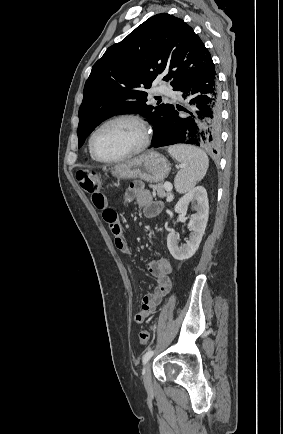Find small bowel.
Masks as SVG:
<instances>
[{
  "label": "small bowel",
  "mask_w": 283,
  "mask_h": 434,
  "mask_svg": "<svg viewBox=\"0 0 283 434\" xmlns=\"http://www.w3.org/2000/svg\"><path fill=\"white\" fill-rule=\"evenodd\" d=\"M123 200L125 202L135 201L147 218L156 217L163 209L162 203L153 200L150 191L144 187L142 182L138 181L131 183L125 189ZM92 202L97 209L102 211L103 219L110 227L116 247L124 254L132 255L119 217L116 211L108 206L107 197L97 191L92 194ZM147 267L154 277L155 283L150 287L149 293L143 297L140 309L134 316L136 324H142L155 311L163 297L171 289L170 274L172 272V265L168 259L162 255H158L154 260L149 262Z\"/></svg>",
  "instance_id": "1"
}]
</instances>
